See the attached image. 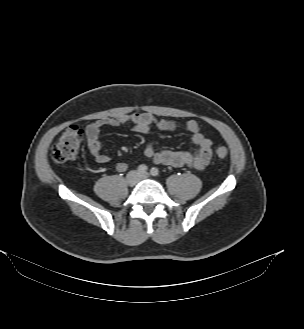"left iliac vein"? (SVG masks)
<instances>
[{
	"label": "left iliac vein",
	"mask_w": 304,
	"mask_h": 329,
	"mask_svg": "<svg viewBox=\"0 0 304 329\" xmlns=\"http://www.w3.org/2000/svg\"><path fill=\"white\" fill-rule=\"evenodd\" d=\"M139 178L140 179H146V178H148V174L147 173L140 174Z\"/></svg>",
	"instance_id": "obj_1"
}]
</instances>
